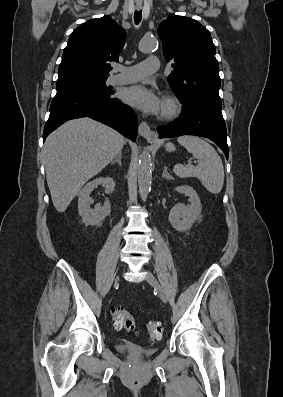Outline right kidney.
Instances as JSON below:
<instances>
[{
    "label": "right kidney",
    "mask_w": 283,
    "mask_h": 397,
    "mask_svg": "<svg viewBox=\"0 0 283 397\" xmlns=\"http://www.w3.org/2000/svg\"><path fill=\"white\" fill-rule=\"evenodd\" d=\"M98 184L105 188L106 194H111L115 189L113 178L106 177L96 178L95 180L87 183L79 192L78 211L83 223L86 225H99L108 215H110L111 212L109 201H106L103 206L98 204L95 205L94 209L90 208V205L93 203V199L90 198V194Z\"/></svg>",
    "instance_id": "1"
}]
</instances>
